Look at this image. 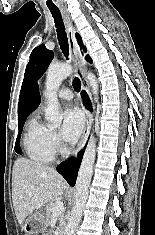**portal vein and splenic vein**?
I'll use <instances>...</instances> for the list:
<instances>
[{"mask_svg":"<svg viewBox=\"0 0 155 235\" xmlns=\"http://www.w3.org/2000/svg\"><path fill=\"white\" fill-rule=\"evenodd\" d=\"M64 211V204L61 201H56L52 209V214L54 217L59 216Z\"/></svg>","mask_w":155,"mask_h":235,"instance_id":"18ae733b","label":"portal vein and splenic vein"}]
</instances>
